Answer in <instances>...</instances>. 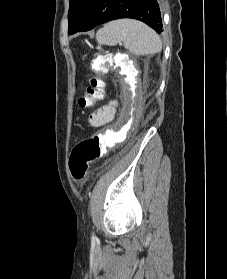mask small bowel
Masks as SVG:
<instances>
[{"label":"small bowel","instance_id":"obj_1","mask_svg":"<svg viewBox=\"0 0 227 279\" xmlns=\"http://www.w3.org/2000/svg\"><path fill=\"white\" fill-rule=\"evenodd\" d=\"M118 101L116 99L110 100L106 105L98 109L89 116V122L94 127H101L109 124L116 113Z\"/></svg>","mask_w":227,"mask_h":279}]
</instances>
